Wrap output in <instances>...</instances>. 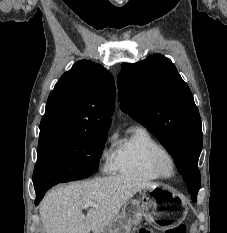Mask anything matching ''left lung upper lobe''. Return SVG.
Listing matches in <instances>:
<instances>
[{
  "label": "left lung upper lobe",
  "instance_id": "obj_1",
  "mask_svg": "<svg viewBox=\"0 0 227 233\" xmlns=\"http://www.w3.org/2000/svg\"><path fill=\"white\" fill-rule=\"evenodd\" d=\"M117 84L122 110L167 149L196 201L201 186V119L192 93L174 64L161 54L123 64Z\"/></svg>",
  "mask_w": 227,
  "mask_h": 233
}]
</instances>
